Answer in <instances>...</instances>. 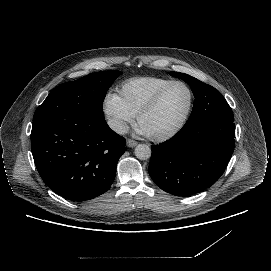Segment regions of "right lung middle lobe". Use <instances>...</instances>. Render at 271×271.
Wrapping results in <instances>:
<instances>
[{
  "label": "right lung middle lobe",
  "instance_id": "right-lung-middle-lobe-1",
  "mask_svg": "<svg viewBox=\"0 0 271 271\" xmlns=\"http://www.w3.org/2000/svg\"><path fill=\"white\" fill-rule=\"evenodd\" d=\"M120 74V71H102L58 86L37 108L33 121L54 113L104 118L103 100L108 88Z\"/></svg>",
  "mask_w": 271,
  "mask_h": 271
}]
</instances>
